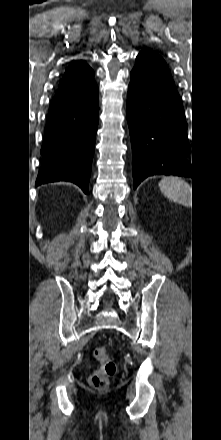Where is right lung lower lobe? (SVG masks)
<instances>
[{
	"instance_id": "1",
	"label": "right lung lower lobe",
	"mask_w": 221,
	"mask_h": 440,
	"mask_svg": "<svg viewBox=\"0 0 221 440\" xmlns=\"http://www.w3.org/2000/svg\"><path fill=\"white\" fill-rule=\"evenodd\" d=\"M94 79L59 87L49 108L36 185L69 181L88 193L99 113Z\"/></svg>"
}]
</instances>
